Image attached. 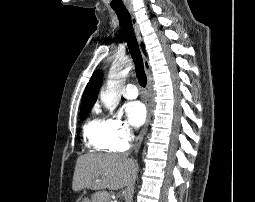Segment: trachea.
<instances>
[{
	"instance_id": "trachea-1",
	"label": "trachea",
	"mask_w": 255,
	"mask_h": 202,
	"mask_svg": "<svg viewBox=\"0 0 255 202\" xmlns=\"http://www.w3.org/2000/svg\"><path fill=\"white\" fill-rule=\"evenodd\" d=\"M114 11L118 16L121 30L127 42L131 57L134 60L138 82L142 87H145L147 83V78L144 72L143 60L139 45L134 33V29L132 27L131 16L126 8L114 9Z\"/></svg>"
}]
</instances>
